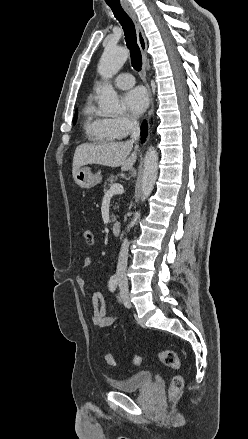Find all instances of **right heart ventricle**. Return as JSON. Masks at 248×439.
I'll return each mask as SVG.
<instances>
[{"mask_svg":"<svg viewBox=\"0 0 248 439\" xmlns=\"http://www.w3.org/2000/svg\"><path fill=\"white\" fill-rule=\"evenodd\" d=\"M82 120L85 133L94 142L111 143L121 138L111 129L109 118L97 110L91 97L83 106Z\"/></svg>","mask_w":248,"mask_h":439,"instance_id":"e07e8e85","label":"right heart ventricle"}]
</instances>
